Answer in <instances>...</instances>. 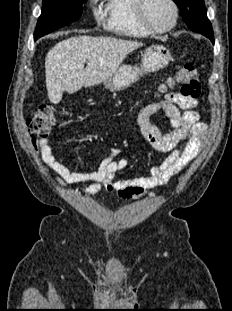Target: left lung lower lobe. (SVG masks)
<instances>
[{"label": "left lung lower lobe", "instance_id": "0a47b994", "mask_svg": "<svg viewBox=\"0 0 232 311\" xmlns=\"http://www.w3.org/2000/svg\"><path fill=\"white\" fill-rule=\"evenodd\" d=\"M196 32H199L203 35H205L206 37H208L211 42L214 44V36H213V30H212V26H211V23L209 24V27L206 28V29H203V30H199V31H196Z\"/></svg>", "mask_w": 232, "mask_h": 311}]
</instances>
